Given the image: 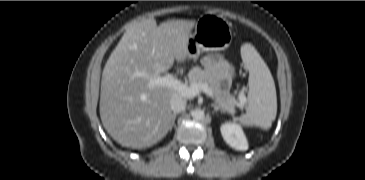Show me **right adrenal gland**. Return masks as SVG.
Segmentation results:
<instances>
[{"label": "right adrenal gland", "mask_w": 365, "mask_h": 180, "mask_svg": "<svg viewBox=\"0 0 365 180\" xmlns=\"http://www.w3.org/2000/svg\"><path fill=\"white\" fill-rule=\"evenodd\" d=\"M176 116H177V113H173V115H172V124H171L170 130H171V129H172V127L175 125V119H176Z\"/></svg>", "instance_id": "1"}]
</instances>
